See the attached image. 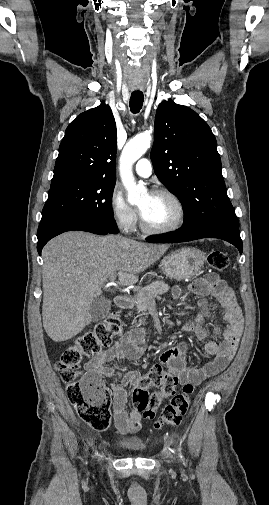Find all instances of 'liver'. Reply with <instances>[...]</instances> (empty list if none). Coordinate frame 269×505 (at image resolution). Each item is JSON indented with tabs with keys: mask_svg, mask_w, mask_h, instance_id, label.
Returning <instances> with one entry per match:
<instances>
[{
	"mask_svg": "<svg viewBox=\"0 0 269 505\" xmlns=\"http://www.w3.org/2000/svg\"><path fill=\"white\" fill-rule=\"evenodd\" d=\"M166 245L147 244L119 235L96 236L71 231L42 250L43 327L55 342L79 334L90 319V305L107 280L118 276L124 286L155 263Z\"/></svg>",
	"mask_w": 269,
	"mask_h": 505,
	"instance_id": "1",
	"label": "liver"
}]
</instances>
